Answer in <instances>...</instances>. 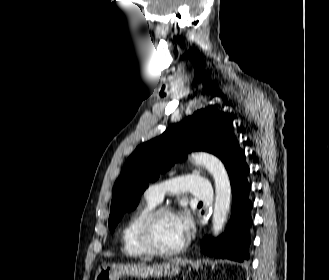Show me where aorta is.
<instances>
[{
  "instance_id": "1",
  "label": "aorta",
  "mask_w": 329,
  "mask_h": 280,
  "mask_svg": "<svg viewBox=\"0 0 329 280\" xmlns=\"http://www.w3.org/2000/svg\"><path fill=\"white\" fill-rule=\"evenodd\" d=\"M195 164L202 165L212 175L215 182V203L212 217L213 235L222 231L231 204V184L223 163L208 153H196L192 156Z\"/></svg>"
}]
</instances>
